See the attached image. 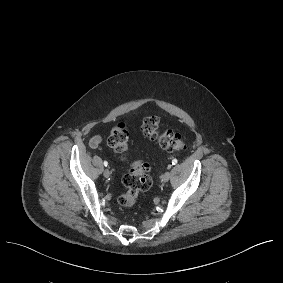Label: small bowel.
Segmentation results:
<instances>
[{"instance_id":"1","label":"small bowel","mask_w":283,"mask_h":283,"mask_svg":"<svg viewBox=\"0 0 283 283\" xmlns=\"http://www.w3.org/2000/svg\"><path fill=\"white\" fill-rule=\"evenodd\" d=\"M102 143V137L99 135L94 136L90 141V146L96 149Z\"/></svg>"}]
</instances>
